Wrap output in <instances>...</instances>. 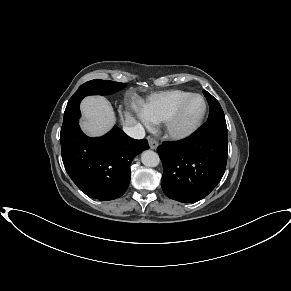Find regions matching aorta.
<instances>
[{"mask_svg": "<svg viewBox=\"0 0 291 291\" xmlns=\"http://www.w3.org/2000/svg\"><path fill=\"white\" fill-rule=\"evenodd\" d=\"M141 161L147 167H156L160 163V158L156 152L146 150L141 154Z\"/></svg>", "mask_w": 291, "mask_h": 291, "instance_id": "aorta-1", "label": "aorta"}]
</instances>
